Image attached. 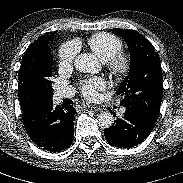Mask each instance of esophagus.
Returning a JSON list of instances; mask_svg holds the SVG:
<instances>
[{
	"mask_svg": "<svg viewBox=\"0 0 183 183\" xmlns=\"http://www.w3.org/2000/svg\"><path fill=\"white\" fill-rule=\"evenodd\" d=\"M84 108L89 109V110H91V111H93V112H95V111H98V110H99L97 107L90 106V105H88V106H84Z\"/></svg>",
	"mask_w": 183,
	"mask_h": 183,
	"instance_id": "34e87169",
	"label": "esophagus"
}]
</instances>
